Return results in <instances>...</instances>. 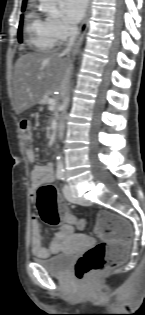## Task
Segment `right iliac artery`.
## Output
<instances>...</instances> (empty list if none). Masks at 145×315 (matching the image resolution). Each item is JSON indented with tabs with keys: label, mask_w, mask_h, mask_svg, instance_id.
<instances>
[{
	"label": "right iliac artery",
	"mask_w": 145,
	"mask_h": 315,
	"mask_svg": "<svg viewBox=\"0 0 145 315\" xmlns=\"http://www.w3.org/2000/svg\"><path fill=\"white\" fill-rule=\"evenodd\" d=\"M57 178H58L59 180L63 179V174H62V173H59V174L57 175Z\"/></svg>",
	"instance_id": "obj_1"
}]
</instances>
